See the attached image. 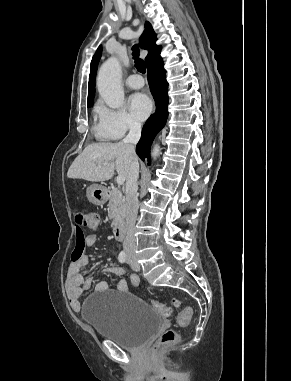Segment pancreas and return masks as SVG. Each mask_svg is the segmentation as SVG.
Instances as JSON below:
<instances>
[{"mask_svg":"<svg viewBox=\"0 0 291 381\" xmlns=\"http://www.w3.org/2000/svg\"><path fill=\"white\" fill-rule=\"evenodd\" d=\"M125 209V198L117 188L112 189V194L108 204L109 218L112 226H116L123 219Z\"/></svg>","mask_w":291,"mask_h":381,"instance_id":"pancreas-1","label":"pancreas"}]
</instances>
